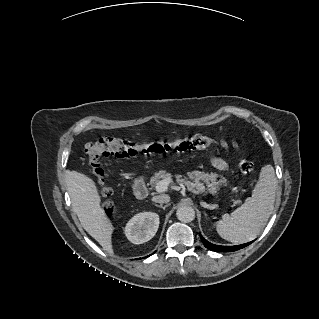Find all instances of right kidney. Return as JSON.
Segmentation results:
<instances>
[{
    "label": "right kidney",
    "mask_w": 319,
    "mask_h": 319,
    "mask_svg": "<svg viewBox=\"0 0 319 319\" xmlns=\"http://www.w3.org/2000/svg\"><path fill=\"white\" fill-rule=\"evenodd\" d=\"M159 227V216L154 212H142L133 216L125 227V235L134 244H142L153 238Z\"/></svg>",
    "instance_id": "1"
}]
</instances>
